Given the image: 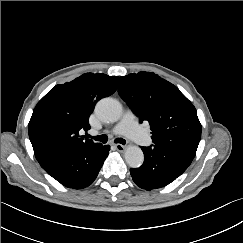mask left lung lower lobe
Segmentation results:
<instances>
[{"label":"left lung lower lobe","mask_w":243,"mask_h":243,"mask_svg":"<svg viewBox=\"0 0 243 243\" xmlns=\"http://www.w3.org/2000/svg\"><path fill=\"white\" fill-rule=\"evenodd\" d=\"M144 162L131 168L133 181L145 190L164 187L179 177L191 164L196 147L185 145H153L142 147Z\"/></svg>","instance_id":"obj_1"}]
</instances>
